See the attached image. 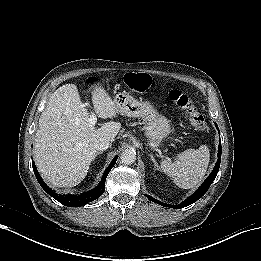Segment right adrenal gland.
Returning a JSON list of instances; mask_svg holds the SVG:
<instances>
[{
  "mask_svg": "<svg viewBox=\"0 0 261 261\" xmlns=\"http://www.w3.org/2000/svg\"><path fill=\"white\" fill-rule=\"evenodd\" d=\"M100 154H102V152H97V153L95 154V158H96L98 155H100Z\"/></svg>",
  "mask_w": 261,
  "mask_h": 261,
  "instance_id": "1",
  "label": "right adrenal gland"
}]
</instances>
